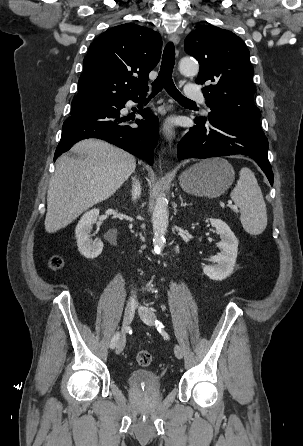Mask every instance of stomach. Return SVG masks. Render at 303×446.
Returning <instances> with one entry per match:
<instances>
[{
	"mask_svg": "<svg viewBox=\"0 0 303 446\" xmlns=\"http://www.w3.org/2000/svg\"><path fill=\"white\" fill-rule=\"evenodd\" d=\"M234 168L223 158H212L194 164L179 177L181 188L192 195L216 198L234 181Z\"/></svg>",
	"mask_w": 303,
	"mask_h": 446,
	"instance_id": "0dacf381",
	"label": "stomach"
}]
</instances>
